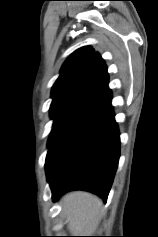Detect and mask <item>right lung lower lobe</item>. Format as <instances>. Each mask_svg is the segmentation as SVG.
<instances>
[{"label":"right lung lower lobe","instance_id":"1","mask_svg":"<svg viewBox=\"0 0 158 237\" xmlns=\"http://www.w3.org/2000/svg\"><path fill=\"white\" fill-rule=\"evenodd\" d=\"M111 98L107 89L52 130L46 175L53 201L67 191L85 190L106 202L120 155Z\"/></svg>","mask_w":158,"mask_h":237}]
</instances>
